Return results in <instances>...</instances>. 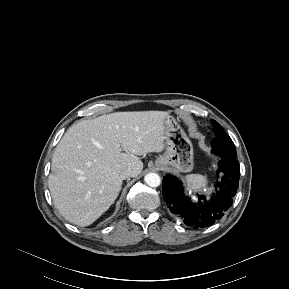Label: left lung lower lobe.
Wrapping results in <instances>:
<instances>
[{
    "label": "left lung lower lobe",
    "instance_id": "obj_1",
    "mask_svg": "<svg viewBox=\"0 0 289 289\" xmlns=\"http://www.w3.org/2000/svg\"><path fill=\"white\" fill-rule=\"evenodd\" d=\"M218 155L221 157L218 173L224 175L215 185L216 192L208 200L204 195H197L198 202H192L191 198L185 196L179 179L171 175L163 177V197L170 212L195 229L209 227L221 219L237 193L240 178L237 153Z\"/></svg>",
    "mask_w": 289,
    "mask_h": 289
}]
</instances>
